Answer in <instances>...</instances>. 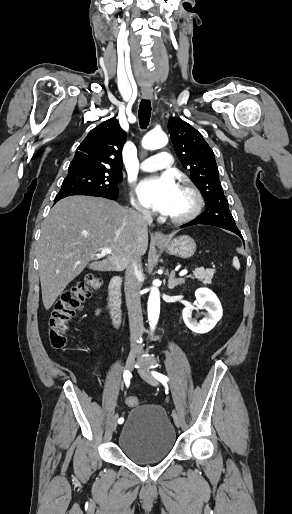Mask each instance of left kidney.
Returning a JSON list of instances; mask_svg holds the SVG:
<instances>
[{"mask_svg":"<svg viewBox=\"0 0 292 514\" xmlns=\"http://www.w3.org/2000/svg\"><path fill=\"white\" fill-rule=\"evenodd\" d=\"M196 302L198 306H202L205 318L197 322L196 318H192V312L195 310L194 306H186L182 310V318L187 326L195 334H207L210 332L217 322L223 316L222 306L214 292L209 288H199L195 292Z\"/></svg>","mask_w":292,"mask_h":514,"instance_id":"1","label":"left kidney"}]
</instances>
